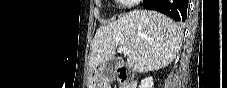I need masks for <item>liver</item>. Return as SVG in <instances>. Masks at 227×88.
<instances>
[{
  "instance_id": "6515ba94",
  "label": "liver",
  "mask_w": 227,
  "mask_h": 88,
  "mask_svg": "<svg viewBox=\"0 0 227 88\" xmlns=\"http://www.w3.org/2000/svg\"><path fill=\"white\" fill-rule=\"evenodd\" d=\"M181 26L157 11L134 10L101 26L92 41L89 66H104L117 47L130 50L127 64L135 72L159 70L172 63L179 52Z\"/></svg>"
}]
</instances>
